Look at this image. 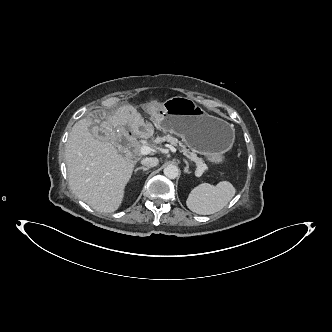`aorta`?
<instances>
[{
  "mask_svg": "<svg viewBox=\"0 0 332 332\" xmlns=\"http://www.w3.org/2000/svg\"><path fill=\"white\" fill-rule=\"evenodd\" d=\"M163 172L167 178L175 179L178 176L179 169L177 166L169 164L164 168Z\"/></svg>",
  "mask_w": 332,
  "mask_h": 332,
  "instance_id": "obj_1",
  "label": "aorta"
}]
</instances>
